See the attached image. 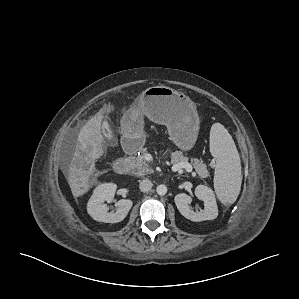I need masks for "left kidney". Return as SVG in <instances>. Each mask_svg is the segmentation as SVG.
Here are the masks:
<instances>
[{
    "label": "left kidney",
    "mask_w": 299,
    "mask_h": 299,
    "mask_svg": "<svg viewBox=\"0 0 299 299\" xmlns=\"http://www.w3.org/2000/svg\"><path fill=\"white\" fill-rule=\"evenodd\" d=\"M195 195L198 199L204 201V209L199 212L193 211L189 207L192 198L185 193H180L177 194L174 199L179 212L185 218L194 222L215 219L218 216V208L212 189L205 185H198L195 188Z\"/></svg>",
    "instance_id": "obj_1"
}]
</instances>
